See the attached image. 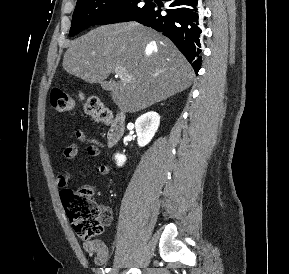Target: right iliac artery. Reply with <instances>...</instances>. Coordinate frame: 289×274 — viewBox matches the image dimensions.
<instances>
[{
	"label": "right iliac artery",
	"mask_w": 289,
	"mask_h": 274,
	"mask_svg": "<svg viewBox=\"0 0 289 274\" xmlns=\"http://www.w3.org/2000/svg\"><path fill=\"white\" fill-rule=\"evenodd\" d=\"M111 270V268H106L105 272L108 273Z\"/></svg>",
	"instance_id": "1"
}]
</instances>
